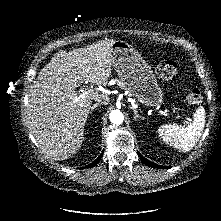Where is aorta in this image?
<instances>
[{"label":"aorta","mask_w":221,"mask_h":221,"mask_svg":"<svg viewBox=\"0 0 221 221\" xmlns=\"http://www.w3.org/2000/svg\"><path fill=\"white\" fill-rule=\"evenodd\" d=\"M110 121L114 125H119L124 121V115L120 110H113L110 113Z\"/></svg>","instance_id":"aorta-1"}]
</instances>
